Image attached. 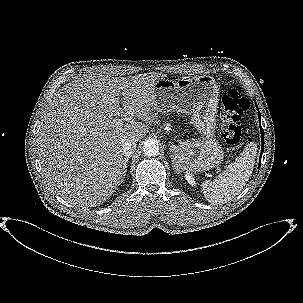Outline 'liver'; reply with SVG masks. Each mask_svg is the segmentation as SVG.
Instances as JSON below:
<instances>
[{
  "instance_id": "obj_1",
  "label": "liver",
  "mask_w": 303,
  "mask_h": 303,
  "mask_svg": "<svg viewBox=\"0 0 303 303\" xmlns=\"http://www.w3.org/2000/svg\"><path fill=\"white\" fill-rule=\"evenodd\" d=\"M164 77L93 74L53 97L38 132L39 159L49 186L68 204L96 207L115 192L123 172L121 140L136 143L148 132L146 124L124 125L118 116L126 110L159 125L153 87Z\"/></svg>"
}]
</instances>
